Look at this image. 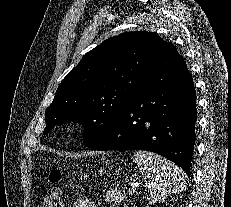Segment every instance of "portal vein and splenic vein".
Segmentation results:
<instances>
[{
  "label": "portal vein and splenic vein",
  "instance_id": "18ae733b",
  "mask_svg": "<svg viewBox=\"0 0 231 207\" xmlns=\"http://www.w3.org/2000/svg\"><path fill=\"white\" fill-rule=\"evenodd\" d=\"M136 187H137V185H133V186L129 189L128 192L134 193V192L136 191Z\"/></svg>",
  "mask_w": 231,
  "mask_h": 207
}]
</instances>
